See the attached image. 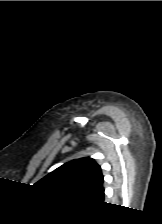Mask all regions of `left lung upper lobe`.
I'll use <instances>...</instances> for the list:
<instances>
[{"label": "left lung upper lobe", "instance_id": "5c2ea615", "mask_svg": "<svg viewBox=\"0 0 162 224\" xmlns=\"http://www.w3.org/2000/svg\"><path fill=\"white\" fill-rule=\"evenodd\" d=\"M102 184L100 166L92 158L85 157L63 164L38 181L36 186L62 196L90 199Z\"/></svg>", "mask_w": 162, "mask_h": 224}]
</instances>
